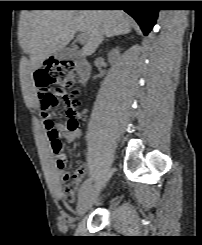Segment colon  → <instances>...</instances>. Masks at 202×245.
I'll use <instances>...</instances> for the list:
<instances>
[{
	"instance_id": "5ec220e1",
	"label": "colon",
	"mask_w": 202,
	"mask_h": 245,
	"mask_svg": "<svg viewBox=\"0 0 202 245\" xmlns=\"http://www.w3.org/2000/svg\"><path fill=\"white\" fill-rule=\"evenodd\" d=\"M77 69L74 61L60 60L38 68L34 73L37 87L38 111L43 116L44 124L51 127L54 123L52 109L53 93L63 99L70 117H74L83 107L81 90L76 86ZM75 126L73 119L67 124L68 129ZM55 150L62 149V142L56 130L47 133Z\"/></svg>"
}]
</instances>
